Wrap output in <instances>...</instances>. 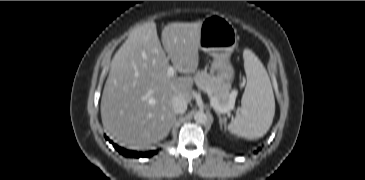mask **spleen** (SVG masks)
Here are the masks:
<instances>
[{
	"mask_svg": "<svg viewBox=\"0 0 365 180\" xmlns=\"http://www.w3.org/2000/svg\"><path fill=\"white\" fill-rule=\"evenodd\" d=\"M247 84L241 111L228 125L230 133L246 139L260 138L269 130L275 114V99L268 73L250 50L244 51Z\"/></svg>",
	"mask_w": 365,
	"mask_h": 180,
	"instance_id": "spleen-1",
	"label": "spleen"
}]
</instances>
